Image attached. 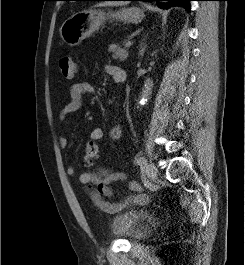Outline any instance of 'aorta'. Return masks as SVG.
Instances as JSON below:
<instances>
[{
	"mask_svg": "<svg viewBox=\"0 0 245 265\" xmlns=\"http://www.w3.org/2000/svg\"><path fill=\"white\" fill-rule=\"evenodd\" d=\"M153 81L148 78L145 80L142 91L139 96V104L144 105L150 99L152 93Z\"/></svg>",
	"mask_w": 245,
	"mask_h": 265,
	"instance_id": "aorta-1",
	"label": "aorta"
}]
</instances>
